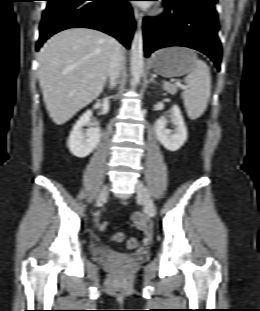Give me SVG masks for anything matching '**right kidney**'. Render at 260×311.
Returning <instances> with one entry per match:
<instances>
[{
    "mask_svg": "<svg viewBox=\"0 0 260 311\" xmlns=\"http://www.w3.org/2000/svg\"><path fill=\"white\" fill-rule=\"evenodd\" d=\"M102 107L103 113H107L109 109L108 99H104ZM91 117L92 111L88 110L79 118L74 125L67 142L70 152L78 158L88 156L100 142V128H89L86 132H83V127L90 124Z\"/></svg>",
    "mask_w": 260,
    "mask_h": 311,
    "instance_id": "ca27d5eb",
    "label": "right kidney"
}]
</instances>
